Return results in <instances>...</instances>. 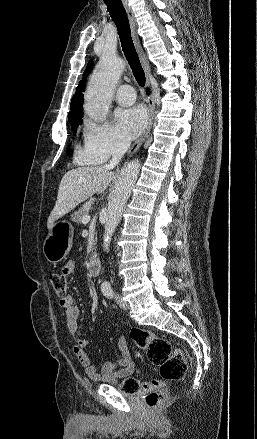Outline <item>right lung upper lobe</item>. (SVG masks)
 Returning a JSON list of instances; mask_svg holds the SVG:
<instances>
[{"label": "right lung upper lobe", "instance_id": "1", "mask_svg": "<svg viewBox=\"0 0 257 439\" xmlns=\"http://www.w3.org/2000/svg\"><path fill=\"white\" fill-rule=\"evenodd\" d=\"M93 66L92 61H89L88 65H87V70L84 73V78L82 79V81L79 82V85L76 87V93L73 96L72 100H71V111L69 113H82L83 110V106H82V99H83V92L85 91V82H86V76L89 74L91 68Z\"/></svg>", "mask_w": 257, "mask_h": 439}]
</instances>
